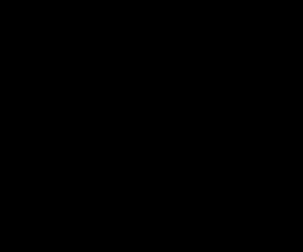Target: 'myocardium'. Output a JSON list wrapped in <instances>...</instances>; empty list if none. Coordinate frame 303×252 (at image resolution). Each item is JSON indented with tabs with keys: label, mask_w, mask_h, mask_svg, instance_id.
<instances>
[{
	"label": "myocardium",
	"mask_w": 303,
	"mask_h": 252,
	"mask_svg": "<svg viewBox=\"0 0 303 252\" xmlns=\"http://www.w3.org/2000/svg\"><path fill=\"white\" fill-rule=\"evenodd\" d=\"M216 107H217V100L215 101L214 108L212 110L211 116H210V118L207 122L202 123V124H198V125L190 127V128H184V132L185 133H196V132L200 131L201 129H203L204 127H206L208 125L210 119L213 117V114L216 110Z\"/></svg>",
	"instance_id": "f54148a6"
}]
</instances>
